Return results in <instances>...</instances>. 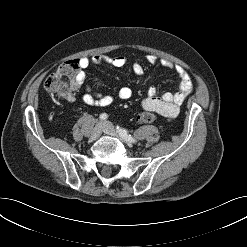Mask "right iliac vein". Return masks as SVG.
Instances as JSON below:
<instances>
[{
	"label": "right iliac vein",
	"instance_id": "obj_1",
	"mask_svg": "<svg viewBox=\"0 0 247 247\" xmlns=\"http://www.w3.org/2000/svg\"><path fill=\"white\" fill-rule=\"evenodd\" d=\"M101 133H102V124L97 123L96 126L93 128L90 137L91 139L95 140L100 137Z\"/></svg>",
	"mask_w": 247,
	"mask_h": 247
}]
</instances>
